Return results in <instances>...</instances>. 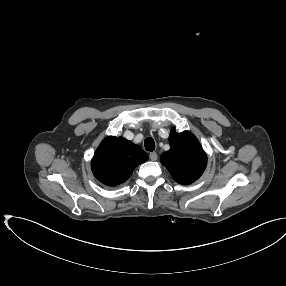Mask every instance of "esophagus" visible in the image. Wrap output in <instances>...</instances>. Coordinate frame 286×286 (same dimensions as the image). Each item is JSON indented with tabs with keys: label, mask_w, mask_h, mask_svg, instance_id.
I'll list each match as a JSON object with an SVG mask.
<instances>
[{
	"label": "esophagus",
	"mask_w": 286,
	"mask_h": 286,
	"mask_svg": "<svg viewBox=\"0 0 286 286\" xmlns=\"http://www.w3.org/2000/svg\"><path fill=\"white\" fill-rule=\"evenodd\" d=\"M149 158H150V160H152V161H156V160L158 159V155H157L156 152H151V153L149 154Z\"/></svg>",
	"instance_id": "obj_1"
}]
</instances>
